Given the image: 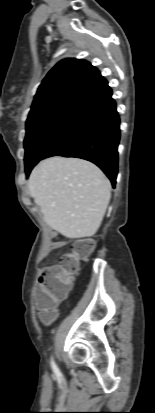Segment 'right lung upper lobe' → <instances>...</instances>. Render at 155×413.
<instances>
[{"instance_id":"right-lung-upper-lobe-1","label":"right lung upper lobe","mask_w":155,"mask_h":413,"mask_svg":"<svg viewBox=\"0 0 155 413\" xmlns=\"http://www.w3.org/2000/svg\"><path fill=\"white\" fill-rule=\"evenodd\" d=\"M107 85L106 79L89 62L64 59L53 67L39 86L27 123L58 107L79 105Z\"/></svg>"}]
</instances>
